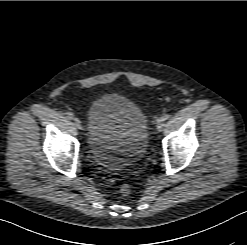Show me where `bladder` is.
<instances>
[{
	"mask_svg": "<svg viewBox=\"0 0 247 245\" xmlns=\"http://www.w3.org/2000/svg\"><path fill=\"white\" fill-rule=\"evenodd\" d=\"M89 145L96 161L117 171L137 165L148 146L144 112L118 93L97 97L88 110Z\"/></svg>",
	"mask_w": 247,
	"mask_h": 245,
	"instance_id": "bladder-1",
	"label": "bladder"
}]
</instances>
